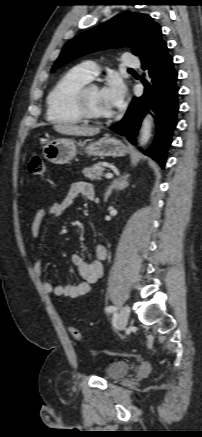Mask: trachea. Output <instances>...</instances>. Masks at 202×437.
I'll list each match as a JSON object with an SVG mask.
<instances>
[{"label":"trachea","mask_w":202,"mask_h":437,"mask_svg":"<svg viewBox=\"0 0 202 437\" xmlns=\"http://www.w3.org/2000/svg\"><path fill=\"white\" fill-rule=\"evenodd\" d=\"M129 71H133V69H128Z\"/></svg>","instance_id":"obj_1"}]
</instances>
